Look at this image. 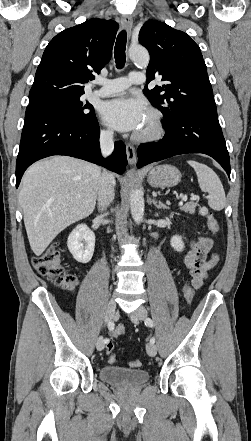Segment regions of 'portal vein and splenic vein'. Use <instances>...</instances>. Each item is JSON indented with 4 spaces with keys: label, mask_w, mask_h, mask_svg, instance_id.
Returning <instances> with one entry per match:
<instances>
[{
    "label": "portal vein and splenic vein",
    "mask_w": 251,
    "mask_h": 441,
    "mask_svg": "<svg viewBox=\"0 0 251 441\" xmlns=\"http://www.w3.org/2000/svg\"><path fill=\"white\" fill-rule=\"evenodd\" d=\"M199 197L197 196V195H194V194H192L191 195V200H196V199H198ZM182 200L183 201H186L187 200V196L185 195V196H183L182 197Z\"/></svg>",
    "instance_id": "1"
}]
</instances>
